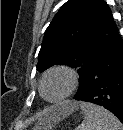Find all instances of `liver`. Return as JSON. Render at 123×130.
<instances>
[{"mask_svg":"<svg viewBox=\"0 0 123 130\" xmlns=\"http://www.w3.org/2000/svg\"><path fill=\"white\" fill-rule=\"evenodd\" d=\"M73 106H75V104H73ZM57 111V110H56ZM57 121V116H56V112L55 110L54 111H49L48 113H46L44 115V117H42L39 122H38V125L36 126V129H41L42 126L41 125H47L45 126V128H48L50 129L54 123H56Z\"/></svg>","mask_w":123,"mask_h":130,"instance_id":"obj_1","label":"liver"}]
</instances>
